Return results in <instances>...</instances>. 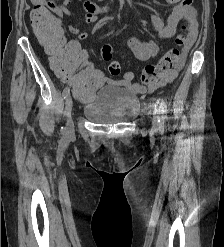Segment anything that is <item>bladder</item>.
<instances>
[{
	"label": "bladder",
	"mask_w": 224,
	"mask_h": 247,
	"mask_svg": "<svg viewBox=\"0 0 224 247\" xmlns=\"http://www.w3.org/2000/svg\"><path fill=\"white\" fill-rule=\"evenodd\" d=\"M136 97L117 85H105L84 104V117L98 125H116L130 120L135 115Z\"/></svg>",
	"instance_id": "obj_1"
}]
</instances>
